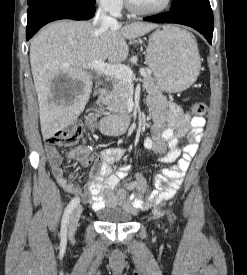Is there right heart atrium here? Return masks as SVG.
I'll list each match as a JSON object with an SVG mask.
<instances>
[{
	"label": "right heart atrium",
	"instance_id": "right-heart-atrium-1",
	"mask_svg": "<svg viewBox=\"0 0 247 275\" xmlns=\"http://www.w3.org/2000/svg\"><path fill=\"white\" fill-rule=\"evenodd\" d=\"M97 5L104 11L117 15L123 8V0H96Z\"/></svg>",
	"mask_w": 247,
	"mask_h": 275
}]
</instances>
